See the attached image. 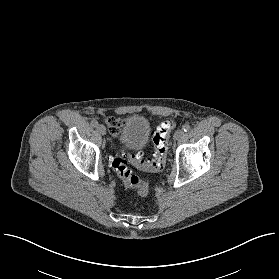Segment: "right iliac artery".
<instances>
[{"label":"right iliac artery","mask_w":279,"mask_h":279,"mask_svg":"<svg viewBox=\"0 0 279 279\" xmlns=\"http://www.w3.org/2000/svg\"><path fill=\"white\" fill-rule=\"evenodd\" d=\"M91 125L94 126V127H96V126L98 125V122L95 121V120H92V121H91Z\"/></svg>","instance_id":"right-iliac-artery-1"}]
</instances>
